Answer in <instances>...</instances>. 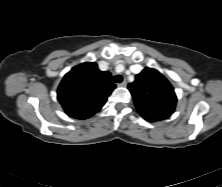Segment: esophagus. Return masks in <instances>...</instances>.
<instances>
[{
  "mask_svg": "<svg viewBox=\"0 0 222 187\" xmlns=\"http://www.w3.org/2000/svg\"><path fill=\"white\" fill-rule=\"evenodd\" d=\"M127 82L124 80L122 83L118 84L119 87H126Z\"/></svg>",
  "mask_w": 222,
  "mask_h": 187,
  "instance_id": "34e87169",
  "label": "esophagus"
}]
</instances>
